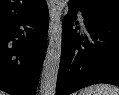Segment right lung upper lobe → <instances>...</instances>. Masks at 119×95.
Returning <instances> with one entry per match:
<instances>
[{"label": "right lung upper lobe", "instance_id": "right-lung-upper-lobe-1", "mask_svg": "<svg viewBox=\"0 0 119 95\" xmlns=\"http://www.w3.org/2000/svg\"><path fill=\"white\" fill-rule=\"evenodd\" d=\"M45 2L44 0H0V27L22 19Z\"/></svg>", "mask_w": 119, "mask_h": 95}]
</instances>
